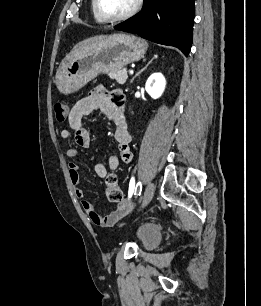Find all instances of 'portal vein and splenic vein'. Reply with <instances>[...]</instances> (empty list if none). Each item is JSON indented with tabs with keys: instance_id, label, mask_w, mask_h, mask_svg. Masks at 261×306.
<instances>
[{
	"instance_id": "obj_1",
	"label": "portal vein and splenic vein",
	"mask_w": 261,
	"mask_h": 306,
	"mask_svg": "<svg viewBox=\"0 0 261 306\" xmlns=\"http://www.w3.org/2000/svg\"><path fill=\"white\" fill-rule=\"evenodd\" d=\"M133 73H134V71H133V70H130V71H129V74H130V75H132Z\"/></svg>"
}]
</instances>
